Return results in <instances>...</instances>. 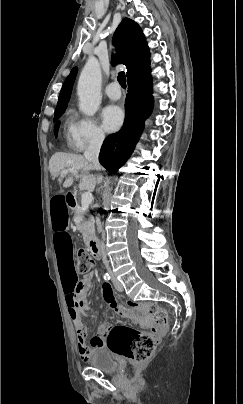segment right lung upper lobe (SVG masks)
<instances>
[{"instance_id": "1", "label": "right lung upper lobe", "mask_w": 243, "mask_h": 404, "mask_svg": "<svg viewBox=\"0 0 243 404\" xmlns=\"http://www.w3.org/2000/svg\"><path fill=\"white\" fill-rule=\"evenodd\" d=\"M113 41L119 57L112 58V64L122 63L126 66L128 81L150 69L149 48L136 22L124 18L114 33ZM76 73L77 68L74 67L62 86L56 109L67 106Z\"/></svg>"}]
</instances>
